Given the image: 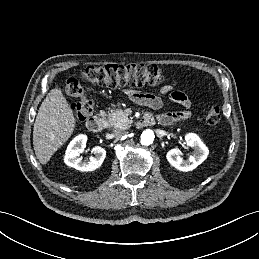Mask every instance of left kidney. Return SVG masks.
<instances>
[{"mask_svg":"<svg viewBox=\"0 0 259 259\" xmlns=\"http://www.w3.org/2000/svg\"><path fill=\"white\" fill-rule=\"evenodd\" d=\"M185 140L187 146L194 149V154L188 159L184 160L180 156V150L176 148L169 150L166 155L168 162L173 167L183 172L192 171L195 169L206 160L209 153L208 148L195 133L186 134Z\"/></svg>","mask_w":259,"mask_h":259,"instance_id":"5707ae66","label":"left kidney"}]
</instances>
